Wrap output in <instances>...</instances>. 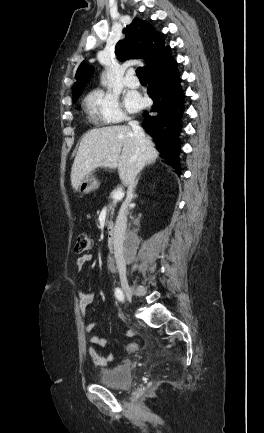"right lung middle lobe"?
Returning <instances> with one entry per match:
<instances>
[{"label": "right lung middle lobe", "instance_id": "dd1d6c3e", "mask_svg": "<svg viewBox=\"0 0 264 433\" xmlns=\"http://www.w3.org/2000/svg\"><path fill=\"white\" fill-rule=\"evenodd\" d=\"M77 99H78V98H76V99H73V102L75 103V102L77 101Z\"/></svg>", "mask_w": 264, "mask_h": 433}]
</instances>
